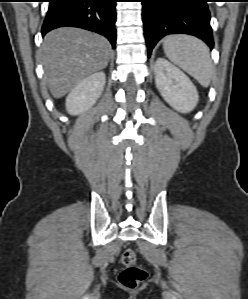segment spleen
<instances>
[{
  "label": "spleen",
  "mask_w": 248,
  "mask_h": 299,
  "mask_svg": "<svg viewBox=\"0 0 248 299\" xmlns=\"http://www.w3.org/2000/svg\"><path fill=\"white\" fill-rule=\"evenodd\" d=\"M163 49L170 61L179 66L203 87L213 77V64L207 45L189 35H169L164 38Z\"/></svg>",
  "instance_id": "spleen-1"
}]
</instances>
